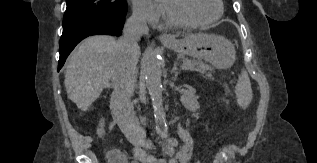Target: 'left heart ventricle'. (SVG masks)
Here are the masks:
<instances>
[{
    "mask_svg": "<svg viewBox=\"0 0 317 163\" xmlns=\"http://www.w3.org/2000/svg\"><path fill=\"white\" fill-rule=\"evenodd\" d=\"M185 21L207 20L218 12L216 0H162Z\"/></svg>",
    "mask_w": 317,
    "mask_h": 163,
    "instance_id": "b2bd125f",
    "label": "left heart ventricle"
}]
</instances>
